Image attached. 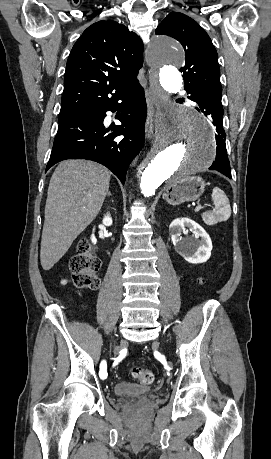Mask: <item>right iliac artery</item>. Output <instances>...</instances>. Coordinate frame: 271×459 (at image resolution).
<instances>
[{"label":"right iliac artery","instance_id":"1","mask_svg":"<svg viewBox=\"0 0 271 459\" xmlns=\"http://www.w3.org/2000/svg\"><path fill=\"white\" fill-rule=\"evenodd\" d=\"M106 367H107L106 361H102L100 363V369H101L100 372H101V374L104 375V378H109V373H106L107 372L106 371V369H107Z\"/></svg>","mask_w":271,"mask_h":459}]
</instances>
